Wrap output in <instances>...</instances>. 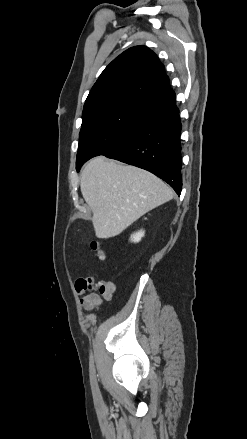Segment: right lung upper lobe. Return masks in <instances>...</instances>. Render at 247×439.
<instances>
[{"instance_id": "cb5924a9", "label": "right lung upper lobe", "mask_w": 247, "mask_h": 439, "mask_svg": "<svg viewBox=\"0 0 247 439\" xmlns=\"http://www.w3.org/2000/svg\"><path fill=\"white\" fill-rule=\"evenodd\" d=\"M175 100L163 64L145 46H135L115 58L90 90L84 110L111 101L131 102L154 112Z\"/></svg>"}]
</instances>
